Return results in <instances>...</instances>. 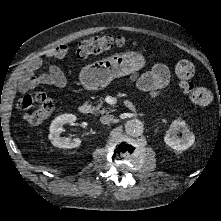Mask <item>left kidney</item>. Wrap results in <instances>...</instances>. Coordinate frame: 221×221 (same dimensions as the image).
I'll return each instance as SVG.
<instances>
[{"instance_id":"1","label":"left kidney","mask_w":221,"mask_h":221,"mask_svg":"<svg viewBox=\"0 0 221 221\" xmlns=\"http://www.w3.org/2000/svg\"><path fill=\"white\" fill-rule=\"evenodd\" d=\"M179 132L183 134L181 138L177 135ZM164 141L172 149L177 151H184L193 145L195 136L192 132H190L185 121L176 119L173 121L170 128L166 131Z\"/></svg>"}]
</instances>
